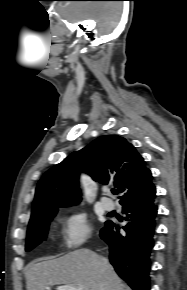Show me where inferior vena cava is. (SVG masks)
Instances as JSON below:
<instances>
[{
	"instance_id": "inferior-vena-cava-1",
	"label": "inferior vena cava",
	"mask_w": 187,
	"mask_h": 290,
	"mask_svg": "<svg viewBox=\"0 0 187 290\" xmlns=\"http://www.w3.org/2000/svg\"><path fill=\"white\" fill-rule=\"evenodd\" d=\"M103 262H104L105 264H108V261H107V259H105V258H103Z\"/></svg>"
}]
</instances>
